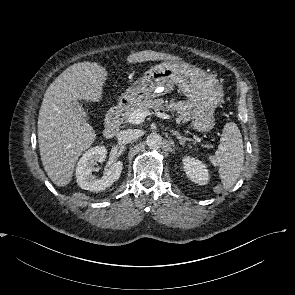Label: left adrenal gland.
<instances>
[{
    "instance_id": "a2214340",
    "label": "left adrenal gland",
    "mask_w": 295,
    "mask_h": 295,
    "mask_svg": "<svg viewBox=\"0 0 295 295\" xmlns=\"http://www.w3.org/2000/svg\"><path fill=\"white\" fill-rule=\"evenodd\" d=\"M171 133H172V135H174L179 140V143L181 145H183V146L185 145V142L186 141H191V139L186 138L185 136L180 135L179 132H177V131L171 130Z\"/></svg>"
}]
</instances>
